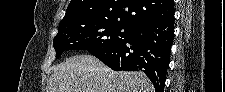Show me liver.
<instances>
[{"label":"liver","mask_w":225,"mask_h":92,"mask_svg":"<svg viewBox=\"0 0 225 92\" xmlns=\"http://www.w3.org/2000/svg\"><path fill=\"white\" fill-rule=\"evenodd\" d=\"M46 92H154L143 72L113 71L92 55H75L52 68Z\"/></svg>","instance_id":"1"}]
</instances>
